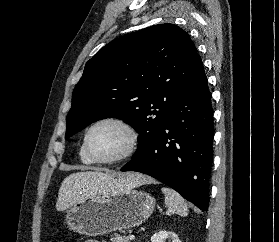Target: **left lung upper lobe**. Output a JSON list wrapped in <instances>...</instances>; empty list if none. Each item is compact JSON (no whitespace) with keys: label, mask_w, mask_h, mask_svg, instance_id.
Returning <instances> with one entry per match:
<instances>
[{"label":"left lung upper lobe","mask_w":279,"mask_h":242,"mask_svg":"<svg viewBox=\"0 0 279 242\" xmlns=\"http://www.w3.org/2000/svg\"><path fill=\"white\" fill-rule=\"evenodd\" d=\"M188 34L158 24L122 36L85 65L72 95L65 137L109 117L127 121L140 135L132 158L155 142L198 59Z\"/></svg>","instance_id":"obj_1"}]
</instances>
